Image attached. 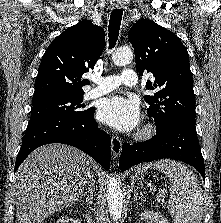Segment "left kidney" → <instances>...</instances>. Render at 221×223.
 <instances>
[{
    "mask_svg": "<svg viewBox=\"0 0 221 223\" xmlns=\"http://www.w3.org/2000/svg\"><path fill=\"white\" fill-rule=\"evenodd\" d=\"M141 220L147 223H169L168 220L158 212L144 211L140 215Z\"/></svg>",
    "mask_w": 221,
    "mask_h": 223,
    "instance_id": "obj_1",
    "label": "left kidney"
}]
</instances>
